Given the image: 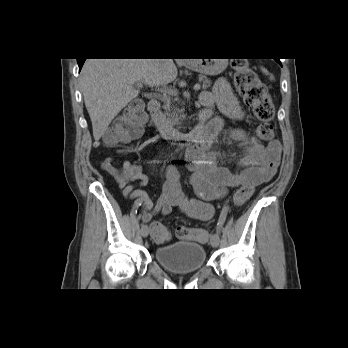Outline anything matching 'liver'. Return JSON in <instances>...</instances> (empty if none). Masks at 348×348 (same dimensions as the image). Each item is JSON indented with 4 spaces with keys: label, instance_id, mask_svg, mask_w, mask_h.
I'll use <instances>...</instances> for the list:
<instances>
[{
    "label": "liver",
    "instance_id": "liver-1",
    "mask_svg": "<svg viewBox=\"0 0 348 348\" xmlns=\"http://www.w3.org/2000/svg\"><path fill=\"white\" fill-rule=\"evenodd\" d=\"M173 59H87L80 85L98 141L118 113L139 94L134 84L166 86L177 78Z\"/></svg>",
    "mask_w": 348,
    "mask_h": 348
}]
</instances>
